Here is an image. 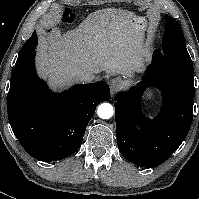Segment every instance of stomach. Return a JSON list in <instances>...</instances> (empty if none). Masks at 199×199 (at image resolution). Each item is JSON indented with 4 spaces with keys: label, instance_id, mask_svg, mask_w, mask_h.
<instances>
[{
    "label": "stomach",
    "instance_id": "0dacf381",
    "mask_svg": "<svg viewBox=\"0 0 199 199\" xmlns=\"http://www.w3.org/2000/svg\"><path fill=\"white\" fill-rule=\"evenodd\" d=\"M136 18H138V19H140V17H136ZM143 19V18H142ZM143 25L145 24V20L143 19V23H142ZM149 97H151V95H149Z\"/></svg>",
    "mask_w": 199,
    "mask_h": 199
}]
</instances>
